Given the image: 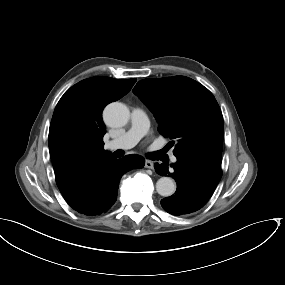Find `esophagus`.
I'll return each mask as SVG.
<instances>
[{
	"instance_id": "34e87169",
	"label": "esophagus",
	"mask_w": 285,
	"mask_h": 285,
	"mask_svg": "<svg viewBox=\"0 0 285 285\" xmlns=\"http://www.w3.org/2000/svg\"><path fill=\"white\" fill-rule=\"evenodd\" d=\"M153 167H154V164L152 161H150V160L145 161V168L153 169Z\"/></svg>"
}]
</instances>
